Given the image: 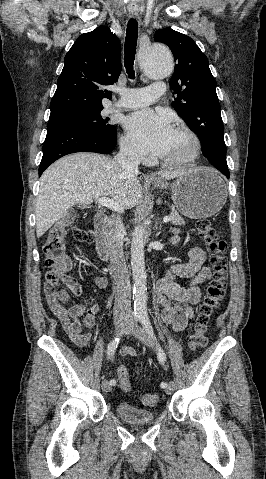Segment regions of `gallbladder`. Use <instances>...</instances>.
<instances>
[{
    "mask_svg": "<svg viewBox=\"0 0 266 479\" xmlns=\"http://www.w3.org/2000/svg\"><path fill=\"white\" fill-rule=\"evenodd\" d=\"M79 207L82 208V209H85V208H86V205H84V204H79Z\"/></svg>",
    "mask_w": 266,
    "mask_h": 479,
    "instance_id": "1",
    "label": "gallbladder"
}]
</instances>
